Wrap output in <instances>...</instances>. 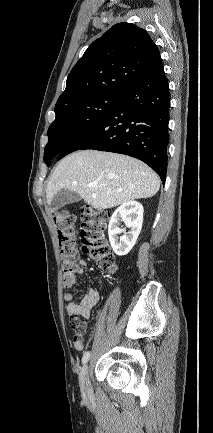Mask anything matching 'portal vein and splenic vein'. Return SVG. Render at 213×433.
<instances>
[{"instance_id":"1","label":"portal vein and splenic vein","mask_w":213,"mask_h":433,"mask_svg":"<svg viewBox=\"0 0 213 433\" xmlns=\"http://www.w3.org/2000/svg\"><path fill=\"white\" fill-rule=\"evenodd\" d=\"M88 186L93 188L97 186V183H89Z\"/></svg>"}]
</instances>
